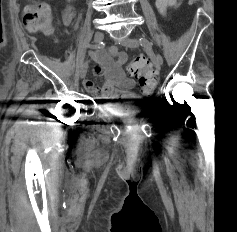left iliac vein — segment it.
<instances>
[{"instance_id": "1", "label": "left iliac vein", "mask_w": 237, "mask_h": 232, "mask_svg": "<svg viewBox=\"0 0 237 232\" xmlns=\"http://www.w3.org/2000/svg\"><path fill=\"white\" fill-rule=\"evenodd\" d=\"M122 44L128 48H137L139 46V41L132 38H126L122 41ZM156 61L159 65H163V58L160 54L156 55Z\"/></svg>"}]
</instances>
